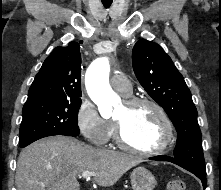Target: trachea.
<instances>
[{"label":"trachea","instance_id":"obj_1","mask_svg":"<svg viewBox=\"0 0 221 190\" xmlns=\"http://www.w3.org/2000/svg\"><path fill=\"white\" fill-rule=\"evenodd\" d=\"M102 3H103L105 8H109L111 6V4H112V0L110 2L103 1Z\"/></svg>","mask_w":221,"mask_h":190}]
</instances>
